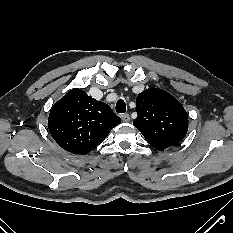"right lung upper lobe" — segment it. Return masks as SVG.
<instances>
[{
    "mask_svg": "<svg viewBox=\"0 0 233 233\" xmlns=\"http://www.w3.org/2000/svg\"><path fill=\"white\" fill-rule=\"evenodd\" d=\"M120 122L121 119L107 104L75 88L53 105L48 128L64 150L73 154H87Z\"/></svg>",
    "mask_w": 233,
    "mask_h": 233,
    "instance_id": "obj_1",
    "label": "right lung upper lobe"
}]
</instances>
